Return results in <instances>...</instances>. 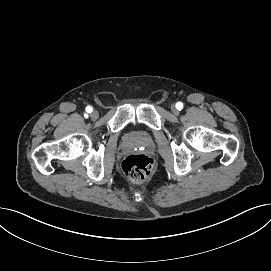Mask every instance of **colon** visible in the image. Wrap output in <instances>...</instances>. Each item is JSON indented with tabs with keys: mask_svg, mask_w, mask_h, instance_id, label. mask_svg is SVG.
Here are the masks:
<instances>
[{
	"mask_svg": "<svg viewBox=\"0 0 271 271\" xmlns=\"http://www.w3.org/2000/svg\"><path fill=\"white\" fill-rule=\"evenodd\" d=\"M123 173L133 181L147 179L154 170V161L146 155H130L122 162Z\"/></svg>",
	"mask_w": 271,
	"mask_h": 271,
	"instance_id": "5ec220e1",
	"label": "colon"
}]
</instances>
